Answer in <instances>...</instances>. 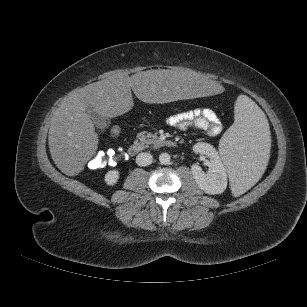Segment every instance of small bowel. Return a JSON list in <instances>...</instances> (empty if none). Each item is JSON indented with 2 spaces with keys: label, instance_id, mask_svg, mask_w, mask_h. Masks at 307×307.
<instances>
[{
  "label": "small bowel",
  "instance_id": "obj_1",
  "mask_svg": "<svg viewBox=\"0 0 307 307\" xmlns=\"http://www.w3.org/2000/svg\"><path fill=\"white\" fill-rule=\"evenodd\" d=\"M168 125L181 131L190 128L205 130L210 136H217L223 126L218 115L210 108H197L176 113L167 117Z\"/></svg>",
  "mask_w": 307,
  "mask_h": 307
}]
</instances>
